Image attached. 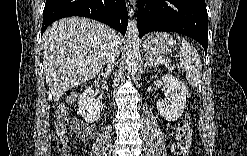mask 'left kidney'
<instances>
[{"mask_svg":"<svg viewBox=\"0 0 247 156\" xmlns=\"http://www.w3.org/2000/svg\"><path fill=\"white\" fill-rule=\"evenodd\" d=\"M161 78L168 97L165 100L157 101V109L167 121H176L186 107L187 87L183 81L169 73L162 74Z\"/></svg>","mask_w":247,"mask_h":156,"instance_id":"5707ae66","label":"left kidney"}]
</instances>
